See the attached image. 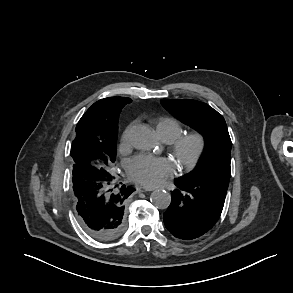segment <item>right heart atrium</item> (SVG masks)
Instances as JSON below:
<instances>
[{
	"label": "right heart atrium",
	"instance_id": "obj_1",
	"mask_svg": "<svg viewBox=\"0 0 293 293\" xmlns=\"http://www.w3.org/2000/svg\"><path fill=\"white\" fill-rule=\"evenodd\" d=\"M135 122L131 123L130 125H128L126 127V129L124 130V132L121 135L120 138V149L121 150H125L128 147V143H129V134H130V130L133 127Z\"/></svg>",
	"mask_w": 293,
	"mask_h": 293
}]
</instances>
